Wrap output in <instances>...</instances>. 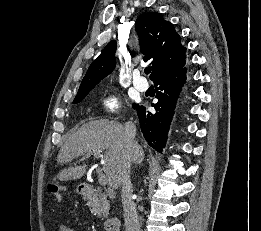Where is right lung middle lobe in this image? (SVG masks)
Returning a JSON list of instances; mask_svg holds the SVG:
<instances>
[{
	"mask_svg": "<svg viewBox=\"0 0 261 231\" xmlns=\"http://www.w3.org/2000/svg\"><path fill=\"white\" fill-rule=\"evenodd\" d=\"M89 92H85V93H80V94H77L74 101H73V104H76V103H79L80 101H82L86 95L88 94ZM135 106V105H134ZM133 106V107H134Z\"/></svg>",
	"mask_w": 261,
	"mask_h": 231,
	"instance_id": "obj_1",
	"label": "right lung middle lobe"
}]
</instances>
